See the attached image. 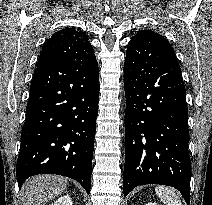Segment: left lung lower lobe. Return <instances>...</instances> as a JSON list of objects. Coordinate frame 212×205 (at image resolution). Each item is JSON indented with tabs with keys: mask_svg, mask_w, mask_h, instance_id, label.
Returning <instances> with one entry per match:
<instances>
[{
	"mask_svg": "<svg viewBox=\"0 0 212 205\" xmlns=\"http://www.w3.org/2000/svg\"><path fill=\"white\" fill-rule=\"evenodd\" d=\"M124 196L138 185L177 188L190 200L188 108L181 69L160 34L132 39L124 63Z\"/></svg>",
	"mask_w": 212,
	"mask_h": 205,
	"instance_id": "0a47b994",
	"label": "left lung lower lobe"
}]
</instances>
